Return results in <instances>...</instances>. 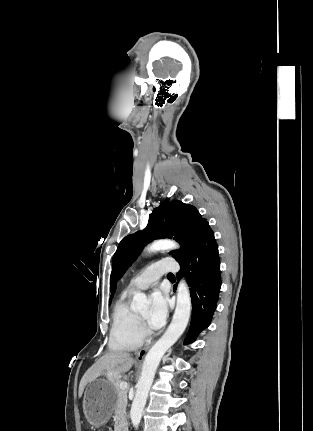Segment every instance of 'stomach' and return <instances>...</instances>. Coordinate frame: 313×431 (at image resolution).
<instances>
[{"mask_svg": "<svg viewBox=\"0 0 313 431\" xmlns=\"http://www.w3.org/2000/svg\"><path fill=\"white\" fill-rule=\"evenodd\" d=\"M116 403V390L112 379H95L88 383L83 410L88 422L99 427L108 422Z\"/></svg>", "mask_w": 313, "mask_h": 431, "instance_id": "1", "label": "stomach"}]
</instances>
